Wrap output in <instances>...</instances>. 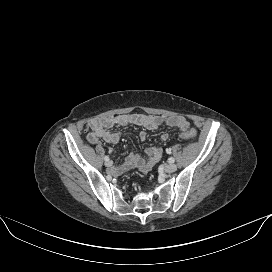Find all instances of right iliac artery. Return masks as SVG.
Segmentation results:
<instances>
[{
  "label": "right iliac artery",
  "instance_id": "obj_1",
  "mask_svg": "<svg viewBox=\"0 0 272 272\" xmlns=\"http://www.w3.org/2000/svg\"><path fill=\"white\" fill-rule=\"evenodd\" d=\"M104 159H105V161H109L110 160L109 156H105Z\"/></svg>",
  "mask_w": 272,
  "mask_h": 272
}]
</instances>
